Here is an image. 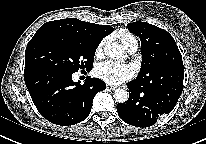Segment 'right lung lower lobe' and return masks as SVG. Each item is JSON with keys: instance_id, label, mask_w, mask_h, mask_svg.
Instances as JSON below:
<instances>
[{"instance_id": "obj_1", "label": "right lung lower lobe", "mask_w": 206, "mask_h": 144, "mask_svg": "<svg viewBox=\"0 0 206 144\" xmlns=\"http://www.w3.org/2000/svg\"><path fill=\"white\" fill-rule=\"evenodd\" d=\"M72 74L37 67L24 71V80L39 113L48 121L69 126L86 119L95 94L106 89L100 79L87 77L85 83L72 81Z\"/></svg>"}]
</instances>
